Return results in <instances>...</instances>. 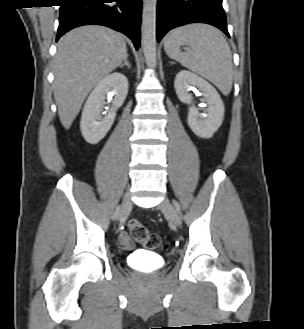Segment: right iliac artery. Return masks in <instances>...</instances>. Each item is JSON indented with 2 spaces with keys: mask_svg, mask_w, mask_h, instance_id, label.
I'll return each mask as SVG.
<instances>
[{
  "mask_svg": "<svg viewBox=\"0 0 304 329\" xmlns=\"http://www.w3.org/2000/svg\"><path fill=\"white\" fill-rule=\"evenodd\" d=\"M121 206H118L113 214V219L118 217L119 211H120Z\"/></svg>",
  "mask_w": 304,
  "mask_h": 329,
  "instance_id": "1",
  "label": "right iliac artery"
}]
</instances>
